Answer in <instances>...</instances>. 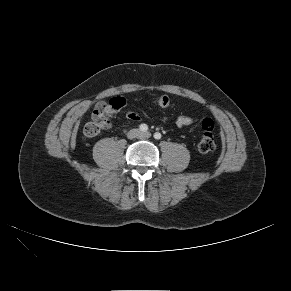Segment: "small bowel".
<instances>
[{"mask_svg": "<svg viewBox=\"0 0 291 291\" xmlns=\"http://www.w3.org/2000/svg\"><path fill=\"white\" fill-rule=\"evenodd\" d=\"M117 98V97H116ZM114 99V98H113ZM108 103H98L95 107L94 113H97L98 111H100L101 109H103L104 106H106ZM123 107V106H122ZM126 119H128L129 121H134L137 122L140 120V117L137 113L133 112V111H129L126 113ZM196 119L192 116L189 115H181L177 118L176 120V124L179 127H183V126H188L190 124H192Z\"/></svg>", "mask_w": 291, "mask_h": 291, "instance_id": "obj_1", "label": "small bowel"}]
</instances>
